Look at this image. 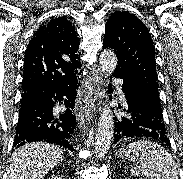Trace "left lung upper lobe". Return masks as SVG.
Masks as SVG:
<instances>
[{"label": "left lung upper lobe", "instance_id": "obj_1", "mask_svg": "<svg viewBox=\"0 0 183 179\" xmlns=\"http://www.w3.org/2000/svg\"><path fill=\"white\" fill-rule=\"evenodd\" d=\"M104 47L116 53L114 74L129 80L146 105L162 116L154 46L142 21L128 12L115 11L105 26Z\"/></svg>", "mask_w": 183, "mask_h": 179}]
</instances>
